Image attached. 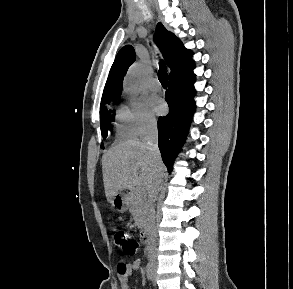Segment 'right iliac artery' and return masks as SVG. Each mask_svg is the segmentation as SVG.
<instances>
[{
  "label": "right iliac artery",
  "mask_w": 293,
  "mask_h": 289,
  "mask_svg": "<svg viewBox=\"0 0 293 289\" xmlns=\"http://www.w3.org/2000/svg\"><path fill=\"white\" fill-rule=\"evenodd\" d=\"M152 275H153V268H152V265L150 263H148L146 266V276L149 280H151Z\"/></svg>",
  "instance_id": "right-iliac-artery-1"
}]
</instances>
